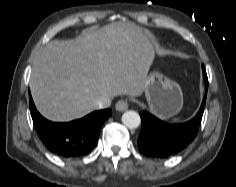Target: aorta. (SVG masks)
Instances as JSON below:
<instances>
[{"label":"aorta","mask_w":236,"mask_h":187,"mask_svg":"<svg viewBox=\"0 0 236 187\" xmlns=\"http://www.w3.org/2000/svg\"><path fill=\"white\" fill-rule=\"evenodd\" d=\"M122 123L130 129H135L139 127L141 119L137 112L129 110L122 115Z\"/></svg>","instance_id":"aorta-1"}]
</instances>
